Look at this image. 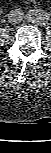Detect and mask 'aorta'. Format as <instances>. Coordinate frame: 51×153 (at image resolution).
I'll return each instance as SVG.
<instances>
[{
	"label": "aorta",
	"instance_id": "obj_1",
	"mask_svg": "<svg viewBox=\"0 0 51 153\" xmlns=\"http://www.w3.org/2000/svg\"><path fill=\"white\" fill-rule=\"evenodd\" d=\"M29 18H30V20H32L38 24H41V25H46L50 21L49 14L46 13L45 11H41V10L30 11Z\"/></svg>",
	"mask_w": 51,
	"mask_h": 153
}]
</instances>
